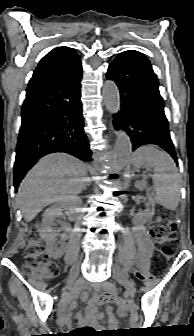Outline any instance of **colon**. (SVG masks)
<instances>
[{
	"label": "colon",
	"instance_id": "1",
	"mask_svg": "<svg viewBox=\"0 0 194 336\" xmlns=\"http://www.w3.org/2000/svg\"><path fill=\"white\" fill-rule=\"evenodd\" d=\"M177 225L172 213L169 210H160L156 224L152 227L151 233L158 244V253L153 261L157 263L165 258L174 256ZM23 271L34 275L38 279H49L56 277L60 272V266L52 261L45 254L44 246L37 230L32 229L28 234V244L24 254ZM146 282L151 278L143 277ZM120 309H126L128 304L122 300L118 301Z\"/></svg>",
	"mask_w": 194,
	"mask_h": 336
}]
</instances>
